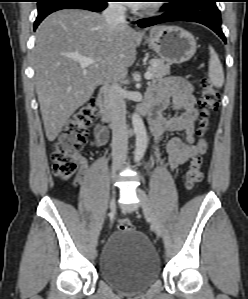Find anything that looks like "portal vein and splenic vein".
Wrapping results in <instances>:
<instances>
[{
	"label": "portal vein and splenic vein",
	"instance_id": "portal-vein-and-splenic-vein-1",
	"mask_svg": "<svg viewBox=\"0 0 248 299\" xmlns=\"http://www.w3.org/2000/svg\"><path fill=\"white\" fill-rule=\"evenodd\" d=\"M76 61H78L81 65V67L85 68L90 65H93L95 63V60L89 57H81V56H74L73 57ZM145 79L150 80L152 77V74L150 71H147L144 75Z\"/></svg>",
	"mask_w": 248,
	"mask_h": 299
}]
</instances>
